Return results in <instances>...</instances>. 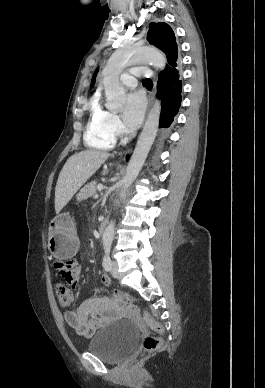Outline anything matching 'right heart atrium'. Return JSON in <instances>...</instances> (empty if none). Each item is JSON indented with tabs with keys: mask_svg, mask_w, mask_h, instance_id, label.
<instances>
[{
	"mask_svg": "<svg viewBox=\"0 0 265 388\" xmlns=\"http://www.w3.org/2000/svg\"><path fill=\"white\" fill-rule=\"evenodd\" d=\"M107 129L114 136L123 135L125 133V128L120 118L117 115L110 112L107 117Z\"/></svg>",
	"mask_w": 265,
	"mask_h": 388,
	"instance_id": "obj_1",
	"label": "right heart atrium"
}]
</instances>
